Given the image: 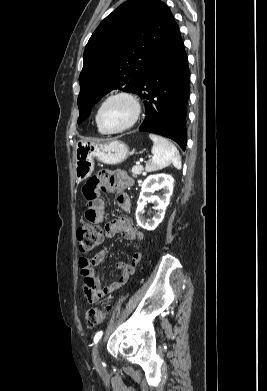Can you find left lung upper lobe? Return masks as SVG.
<instances>
[{
    "label": "left lung upper lobe",
    "mask_w": 267,
    "mask_h": 391,
    "mask_svg": "<svg viewBox=\"0 0 267 391\" xmlns=\"http://www.w3.org/2000/svg\"><path fill=\"white\" fill-rule=\"evenodd\" d=\"M178 29L159 0H128L107 16L84 51L78 123L109 91L136 93L151 61Z\"/></svg>",
    "instance_id": "left-lung-upper-lobe-1"
}]
</instances>
